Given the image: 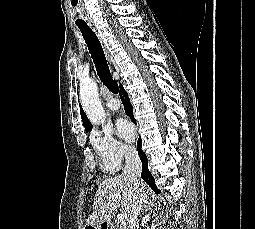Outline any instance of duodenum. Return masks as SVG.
Returning a JSON list of instances; mask_svg holds the SVG:
<instances>
[{
    "mask_svg": "<svg viewBox=\"0 0 255 229\" xmlns=\"http://www.w3.org/2000/svg\"><path fill=\"white\" fill-rule=\"evenodd\" d=\"M97 229H118L114 224L103 222L98 225Z\"/></svg>",
    "mask_w": 255,
    "mask_h": 229,
    "instance_id": "1",
    "label": "duodenum"
}]
</instances>
